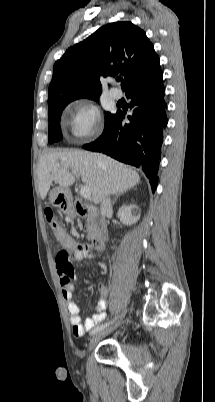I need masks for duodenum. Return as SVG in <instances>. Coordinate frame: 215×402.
Segmentation results:
<instances>
[{
  "instance_id": "1",
  "label": "duodenum",
  "mask_w": 215,
  "mask_h": 402,
  "mask_svg": "<svg viewBox=\"0 0 215 402\" xmlns=\"http://www.w3.org/2000/svg\"><path fill=\"white\" fill-rule=\"evenodd\" d=\"M72 213L74 215H79V216H95L96 212L94 209L86 206L82 201L78 200L75 203L74 208L72 209ZM107 243V239L105 235L103 234H97L94 238L93 244L97 250H102L105 248Z\"/></svg>"
}]
</instances>
